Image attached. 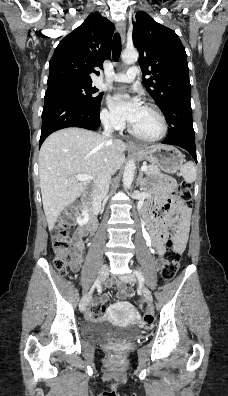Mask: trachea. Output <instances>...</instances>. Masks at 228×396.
<instances>
[{
    "mask_svg": "<svg viewBox=\"0 0 228 396\" xmlns=\"http://www.w3.org/2000/svg\"><path fill=\"white\" fill-rule=\"evenodd\" d=\"M122 50V45H121V38L118 33H116L113 37V46H112V58L114 62H117L120 58Z\"/></svg>",
    "mask_w": 228,
    "mask_h": 396,
    "instance_id": "3493384b",
    "label": "trachea"
}]
</instances>
